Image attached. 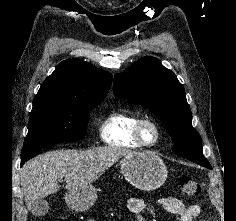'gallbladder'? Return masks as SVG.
<instances>
[{
  "label": "gallbladder",
  "instance_id": "gallbladder-1",
  "mask_svg": "<svg viewBox=\"0 0 236 221\" xmlns=\"http://www.w3.org/2000/svg\"><path fill=\"white\" fill-rule=\"evenodd\" d=\"M49 209L48 202L45 199H37L33 202L31 212L38 217L44 216Z\"/></svg>",
  "mask_w": 236,
  "mask_h": 221
}]
</instances>
